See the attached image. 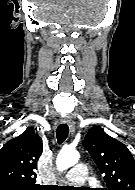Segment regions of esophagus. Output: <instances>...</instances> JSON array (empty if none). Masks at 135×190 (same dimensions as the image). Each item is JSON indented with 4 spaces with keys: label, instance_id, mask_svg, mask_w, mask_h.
Wrapping results in <instances>:
<instances>
[{
    "label": "esophagus",
    "instance_id": "obj_1",
    "mask_svg": "<svg viewBox=\"0 0 135 190\" xmlns=\"http://www.w3.org/2000/svg\"><path fill=\"white\" fill-rule=\"evenodd\" d=\"M64 124H67L69 126L70 132L74 133L75 131V124L70 116H67L62 121Z\"/></svg>",
    "mask_w": 135,
    "mask_h": 190
}]
</instances>
